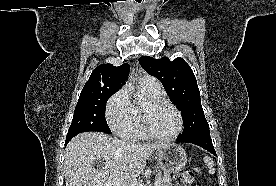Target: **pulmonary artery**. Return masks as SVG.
Segmentation results:
<instances>
[{"label":"pulmonary artery","instance_id":"e3ab8cb5","mask_svg":"<svg viewBox=\"0 0 276 186\" xmlns=\"http://www.w3.org/2000/svg\"><path fill=\"white\" fill-rule=\"evenodd\" d=\"M141 84L145 85L146 87H148L152 90L161 91L160 82L153 76L145 75L141 79Z\"/></svg>","mask_w":276,"mask_h":186}]
</instances>
